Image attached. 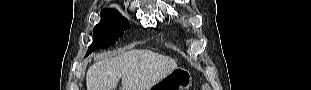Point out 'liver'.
Listing matches in <instances>:
<instances>
[{"label":"liver","mask_w":311,"mask_h":90,"mask_svg":"<svg viewBox=\"0 0 311 90\" xmlns=\"http://www.w3.org/2000/svg\"><path fill=\"white\" fill-rule=\"evenodd\" d=\"M177 62L150 50H129L89 67L87 90H115L122 79V90H149L172 70Z\"/></svg>","instance_id":"1"}]
</instances>
